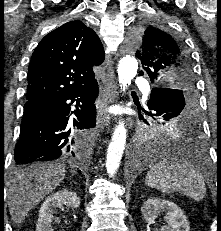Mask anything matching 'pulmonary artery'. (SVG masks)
<instances>
[{"mask_svg": "<svg viewBox=\"0 0 221 231\" xmlns=\"http://www.w3.org/2000/svg\"><path fill=\"white\" fill-rule=\"evenodd\" d=\"M145 83H146L145 79H138V80H136V84L138 86H144Z\"/></svg>", "mask_w": 221, "mask_h": 231, "instance_id": "obj_1", "label": "pulmonary artery"}]
</instances>
